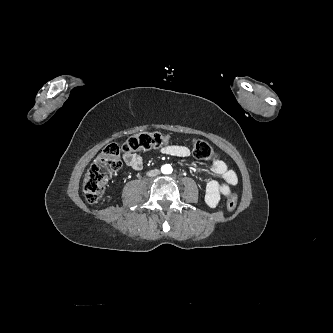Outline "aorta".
Wrapping results in <instances>:
<instances>
[{
  "label": "aorta",
  "instance_id": "obj_1",
  "mask_svg": "<svg viewBox=\"0 0 333 333\" xmlns=\"http://www.w3.org/2000/svg\"><path fill=\"white\" fill-rule=\"evenodd\" d=\"M162 172L164 174H170L172 173V167L170 165H164L162 166Z\"/></svg>",
  "mask_w": 333,
  "mask_h": 333
}]
</instances>
